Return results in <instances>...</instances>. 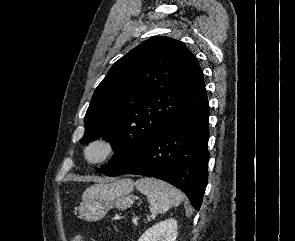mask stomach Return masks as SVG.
Listing matches in <instances>:
<instances>
[{"instance_id":"obj_1","label":"stomach","mask_w":295,"mask_h":241,"mask_svg":"<svg viewBox=\"0 0 295 241\" xmlns=\"http://www.w3.org/2000/svg\"><path fill=\"white\" fill-rule=\"evenodd\" d=\"M132 189L133 182L129 183L127 179L89 187L82 196L80 217L95 222L101 220L113 207L119 210L130 208L134 203V198L130 195Z\"/></svg>"}]
</instances>
